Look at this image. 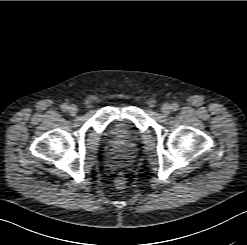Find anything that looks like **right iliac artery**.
Listing matches in <instances>:
<instances>
[{"instance_id": "right-iliac-artery-1", "label": "right iliac artery", "mask_w": 247, "mask_h": 245, "mask_svg": "<svg viewBox=\"0 0 247 245\" xmlns=\"http://www.w3.org/2000/svg\"><path fill=\"white\" fill-rule=\"evenodd\" d=\"M68 108H69V106H68L66 103H64V104L61 105V109H62V111H64V112L67 111Z\"/></svg>"}]
</instances>
